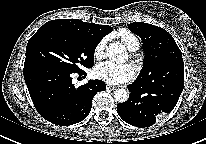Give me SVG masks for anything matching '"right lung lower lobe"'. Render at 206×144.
<instances>
[{"instance_id": "obj_1", "label": "right lung lower lobe", "mask_w": 206, "mask_h": 144, "mask_svg": "<svg viewBox=\"0 0 206 144\" xmlns=\"http://www.w3.org/2000/svg\"><path fill=\"white\" fill-rule=\"evenodd\" d=\"M72 74L47 65L24 67V79L36 110L53 124L81 122L90 113L95 94L106 89L102 80H90L75 88Z\"/></svg>"}]
</instances>
